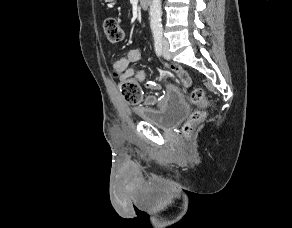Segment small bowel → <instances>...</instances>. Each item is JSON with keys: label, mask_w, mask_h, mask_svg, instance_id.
Masks as SVG:
<instances>
[{"label": "small bowel", "mask_w": 292, "mask_h": 228, "mask_svg": "<svg viewBox=\"0 0 292 228\" xmlns=\"http://www.w3.org/2000/svg\"><path fill=\"white\" fill-rule=\"evenodd\" d=\"M141 57L142 49L140 48L127 51L123 57L112 64L113 72L118 75L120 80L135 78L138 81H144L146 79L145 71L129 68L131 63L139 61ZM169 68L184 86L187 87L191 84L189 74L180 65L171 64ZM151 86L148 84V87ZM182 101L183 96L181 92L174 85H167L162 96H158L157 94L147 95L143 99L142 105L135 108V112L141 117L149 114H158L168 106L179 104Z\"/></svg>", "instance_id": "1"}]
</instances>
